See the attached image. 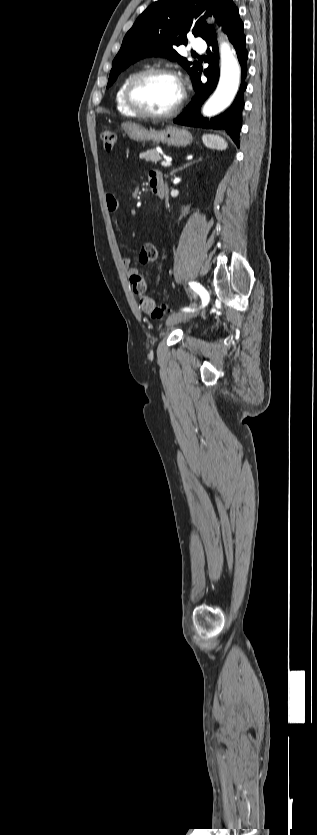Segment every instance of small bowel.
<instances>
[{
	"label": "small bowel",
	"instance_id": "obj_1",
	"mask_svg": "<svg viewBox=\"0 0 317 835\" xmlns=\"http://www.w3.org/2000/svg\"><path fill=\"white\" fill-rule=\"evenodd\" d=\"M154 181H157L164 186V179H163V176H162L161 172H159L157 170L150 171V173H149V183L154 182ZM105 201H106V207H107L109 213L110 214H116L118 212V209H119V203H118V200L115 197V195L112 194V193H107L106 196H105ZM151 246H153V245L145 244L141 248V251H140V254H139V260L142 264H149V263L152 262V260H150L148 258L149 250H150ZM121 262H122L123 267L128 272V274L132 275V274L137 272V268L133 265L130 258L124 257V258H122Z\"/></svg>",
	"mask_w": 317,
	"mask_h": 835
}]
</instances>
